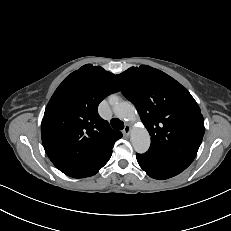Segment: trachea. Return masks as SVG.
I'll use <instances>...</instances> for the list:
<instances>
[{
  "label": "trachea",
  "mask_w": 231,
  "mask_h": 231,
  "mask_svg": "<svg viewBox=\"0 0 231 231\" xmlns=\"http://www.w3.org/2000/svg\"><path fill=\"white\" fill-rule=\"evenodd\" d=\"M110 123L114 129L122 130L124 128V123L118 118H113Z\"/></svg>",
  "instance_id": "3493384b"
}]
</instances>
